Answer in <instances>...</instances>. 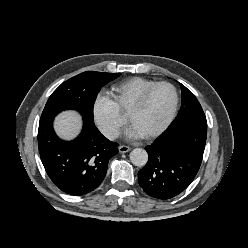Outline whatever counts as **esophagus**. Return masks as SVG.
<instances>
[{
  "mask_svg": "<svg viewBox=\"0 0 248 248\" xmlns=\"http://www.w3.org/2000/svg\"><path fill=\"white\" fill-rule=\"evenodd\" d=\"M118 150L120 153H127L130 151V147H128L126 145H120Z\"/></svg>",
  "mask_w": 248,
  "mask_h": 248,
  "instance_id": "1",
  "label": "esophagus"
}]
</instances>
